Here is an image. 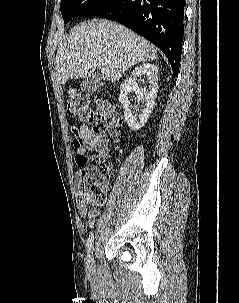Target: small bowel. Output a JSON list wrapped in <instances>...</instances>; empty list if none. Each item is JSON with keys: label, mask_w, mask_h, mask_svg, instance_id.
<instances>
[{"label": "small bowel", "mask_w": 239, "mask_h": 303, "mask_svg": "<svg viewBox=\"0 0 239 303\" xmlns=\"http://www.w3.org/2000/svg\"><path fill=\"white\" fill-rule=\"evenodd\" d=\"M72 144L76 151L75 161L78 165V179L87 164L99 158L111 157L108 137L98 127L81 125L78 128H73ZM89 152L91 155H88ZM77 209L79 215L89 222H93L99 214L97 207H90L83 202L81 193L77 194Z\"/></svg>", "instance_id": "small-bowel-1"}]
</instances>
